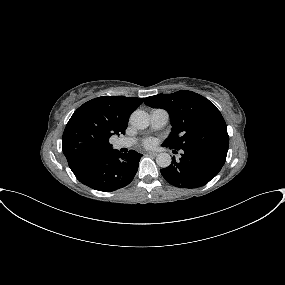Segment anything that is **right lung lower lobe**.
Listing matches in <instances>:
<instances>
[{"label":"right lung lower lobe","instance_id":"98d812e1","mask_svg":"<svg viewBox=\"0 0 285 285\" xmlns=\"http://www.w3.org/2000/svg\"><path fill=\"white\" fill-rule=\"evenodd\" d=\"M142 154L110 150L83 160L71 168L76 178L95 190L110 192L123 188L134 178Z\"/></svg>","mask_w":285,"mask_h":285}]
</instances>
